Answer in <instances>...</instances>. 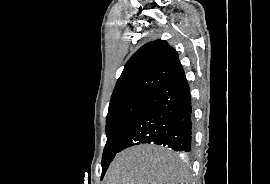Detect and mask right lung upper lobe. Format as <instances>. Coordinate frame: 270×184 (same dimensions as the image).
Returning <instances> with one entry per match:
<instances>
[{"label":"right lung upper lobe","instance_id":"cb5924a9","mask_svg":"<svg viewBox=\"0 0 270 184\" xmlns=\"http://www.w3.org/2000/svg\"><path fill=\"white\" fill-rule=\"evenodd\" d=\"M182 70L176 50L166 41L149 42L142 46L125 65L110 102L134 95L150 96Z\"/></svg>","mask_w":270,"mask_h":184}]
</instances>
